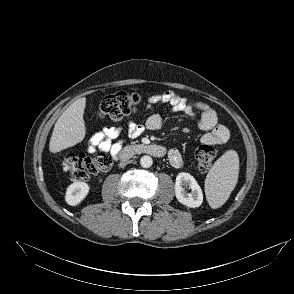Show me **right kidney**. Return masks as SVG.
<instances>
[{"label": "right kidney", "instance_id": "right-kidney-1", "mask_svg": "<svg viewBox=\"0 0 294 294\" xmlns=\"http://www.w3.org/2000/svg\"><path fill=\"white\" fill-rule=\"evenodd\" d=\"M89 185L85 182H74L68 186L65 201L68 205H78L88 194Z\"/></svg>", "mask_w": 294, "mask_h": 294}]
</instances>
